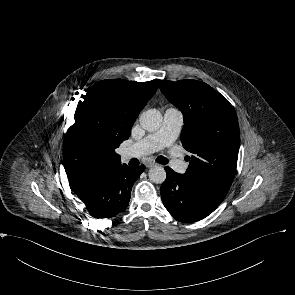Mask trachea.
<instances>
[{
    "label": "trachea",
    "mask_w": 295,
    "mask_h": 295,
    "mask_svg": "<svg viewBox=\"0 0 295 295\" xmlns=\"http://www.w3.org/2000/svg\"><path fill=\"white\" fill-rule=\"evenodd\" d=\"M156 162H158L159 164H167L168 160L167 158L163 157V156H158L156 158Z\"/></svg>",
    "instance_id": "trachea-1"
}]
</instances>
